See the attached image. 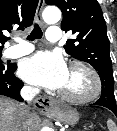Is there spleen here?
<instances>
[{"label": "spleen", "mask_w": 117, "mask_h": 131, "mask_svg": "<svg viewBox=\"0 0 117 131\" xmlns=\"http://www.w3.org/2000/svg\"><path fill=\"white\" fill-rule=\"evenodd\" d=\"M107 126H108L109 131H117V127H116L115 123L113 122V120L108 119Z\"/></svg>", "instance_id": "obj_1"}]
</instances>
